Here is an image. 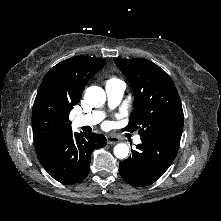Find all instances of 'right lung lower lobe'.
I'll return each instance as SVG.
<instances>
[{"instance_id": "1", "label": "right lung lower lobe", "mask_w": 221, "mask_h": 221, "mask_svg": "<svg viewBox=\"0 0 221 221\" xmlns=\"http://www.w3.org/2000/svg\"><path fill=\"white\" fill-rule=\"evenodd\" d=\"M106 145V138L94 133H71L37 154L44 169L57 181L74 184L89 173L91 153Z\"/></svg>"}]
</instances>
